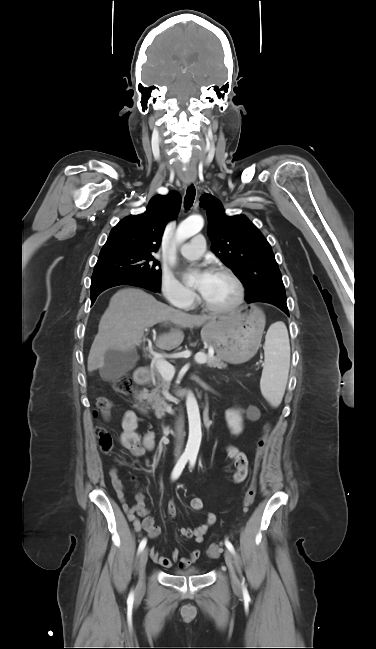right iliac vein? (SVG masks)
<instances>
[{
  "label": "right iliac vein",
  "instance_id": "right-iliac-vein-1",
  "mask_svg": "<svg viewBox=\"0 0 376 649\" xmlns=\"http://www.w3.org/2000/svg\"><path fill=\"white\" fill-rule=\"evenodd\" d=\"M148 559V549L145 548L142 550L139 557V581L137 584V590L141 593L144 590L145 583V567Z\"/></svg>",
  "mask_w": 376,
  "mask_h": 649
}]
</instances>
